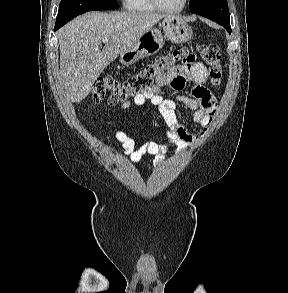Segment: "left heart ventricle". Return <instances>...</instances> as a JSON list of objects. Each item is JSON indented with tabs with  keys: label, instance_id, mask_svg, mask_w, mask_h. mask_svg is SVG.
<instances>
[{
	"label": "left heart ventricle",
	"instance_id": "obj_1",
	"mask_svg": "<svg viewBox=\"0 0 288 293\" xmlns=\"http://www.w3.org/2000/svg\"><path fill=\"white\" fill-rule=\"evenodd\" d=\"M163 6L167 8H177L181 5L183 0H159Z\"/></svg>",
	"mask_w": 288,
	"mask_h": 293
}]
</instances>
